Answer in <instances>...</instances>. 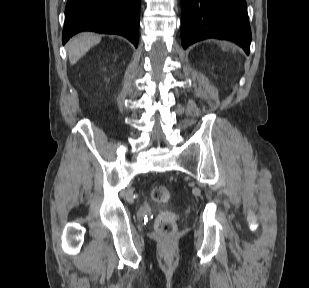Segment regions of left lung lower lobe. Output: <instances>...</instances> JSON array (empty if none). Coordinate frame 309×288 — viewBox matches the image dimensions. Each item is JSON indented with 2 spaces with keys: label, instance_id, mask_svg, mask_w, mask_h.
I'll use <instances>...</instances> for the list:
<instances>
[{
  "label": "left lung lower lobe",
  "instance_id": "1",
  "mask_svg": "<svg viewBox=\"0 0 309 288\" xmlns=\"http://www.w3.org/2000/svg\"><path fill=\"white\" fill-rule=\"evenodd\" d=\"M184 49L207 38L226 39L249 54L251 29L245 0H181Z\"/></svg>",
  "mask_w": 309,
  "mask_h": 288
}]
</instances>
